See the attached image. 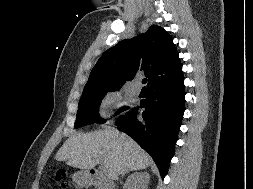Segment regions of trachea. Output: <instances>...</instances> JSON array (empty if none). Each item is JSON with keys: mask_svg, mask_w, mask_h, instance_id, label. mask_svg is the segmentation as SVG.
<instances>
[{"mask_svg": "<svg viewBox=\"0 0 253 189\" xmlns=\"http://www.w3.org/2000/svg\"><path fill=\"white\" fill-rule=\"evenodd\" d=\"M142 83H143V84L147 83V79L144 78V79L142 80Z\"/></svg>", "mask_w": 253, "mask_h": 189, "instance_id": "3493384b", "label": "trachea"}]
</instances>
